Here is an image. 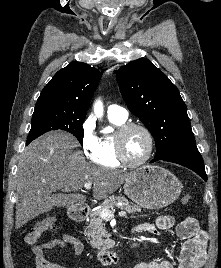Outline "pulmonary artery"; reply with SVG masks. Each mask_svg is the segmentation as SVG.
I'll use <instances>...</instances> for the list:
<instances>
[{
    "instance_id": "pulmonary-artery-1",
    "label": "pulmonary artery",
    "mask_w": 221,
    "mask_h": 268,
    "mask_svg": "<svg viewBox=\"0 0 221 268\" xmlns=\"http://www.w3.org/2000/svg\"><path fill=\"white\" fill-rule=\"evenodd\" d=\"M107 114L109 118H115L123 121L128 118V111L117 104L110 105L107 109Z\"/></svg>"
}]
</instances>
